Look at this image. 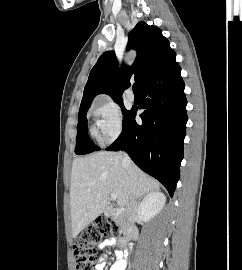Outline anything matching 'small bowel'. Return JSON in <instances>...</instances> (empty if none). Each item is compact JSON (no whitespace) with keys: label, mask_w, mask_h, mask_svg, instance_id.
<instances>
[{"label":"small bowel","mask_w":242,"mask_h":270,"mask_svg":"<svg viewBox=\"0 0 242 270\" xmlns=\"http://www.w3.org/2000/svg\"><path fill=\"white\" fill-rule=\"evenodd\" d=\"M115 245V240L113 239H107L102 243V246H113ZM116 261L112 265L110 270H124L126 267V255L123 251L117 250L115 252ZM107 257L105 254H101L99 256V262L96 266V270H104L105 269V261Z\"/></svg>","instance_id":"1"}]
</instances>
